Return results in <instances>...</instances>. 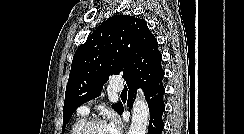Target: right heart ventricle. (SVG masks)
Segmentation results:
<instances>
[{
    "label": "right heart ventricle",
    "mask_w": 244,
    "mask_h": 134,
    "mask_svg": "<svg viewBox=\"0 0 244 134\" xmlns=\"http://www.w3.org/2000/svg\"><path fill=\"white\" fill-rule=\"evenodd\" d=\"M85 116L79 115L76 120L71 124L67 134H76L80 126L85 122Z\"/></svg>",
    "instance_id": "1"
}]
</instances>
